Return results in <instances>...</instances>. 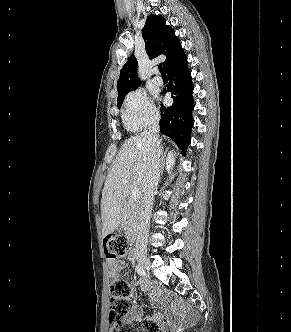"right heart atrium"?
<instances>
[{
  "instance_id": "d8ad5b80",
  "label": "right heart atrium",
  "mask_w": 291,
  "mask_h": 332,
  "mask_svg": "<svg viewBox=\"0 0 291 332\" xmlns=\"http://www.w3.org/2000/svg\"><path fill=\"white\" fill-rule=\"evenodd\" d=\"M158 111L148 95L141 89L131 91L124 100L123 119L128 129L144 130L154 125Z\"/></svg>"
}]
</instances>
